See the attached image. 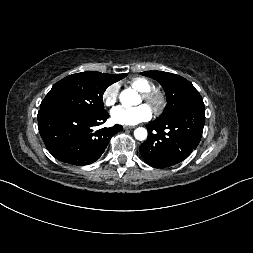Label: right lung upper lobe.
<instances>
[{"label":"right lung upper lobe","mask_w":253,"mask_h":253,"mask_svg":"<svg viewBox=\"0 0 253 253\" xmlns=\"http://www.w3.org/2000/svg\"><path fill=\"white\" fill-rule=\"evenodd\" d=\"M110 75V74H109ZM112 78H114V79H122V78H124V74H115V75H110ZM118 80V81H119Z\"/></svg>","instance_id":"obj_1"}]
</instances>
